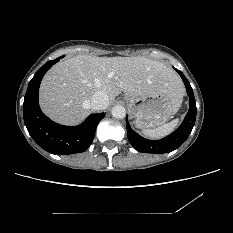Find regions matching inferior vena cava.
Returning a JSON list of instances; mask_svg holds the SVG:
<instances>
[{
  "instance_id": "inferior-vena-cava-1",
  "label": "inferior vena cava",
  "mask_w": 233,
  "mask_h": 233,
  "mask_svg": "<svg viewBox=\"0 0 233 233\" xmlns=\"http://www.w3.org/2000/svg\"><path fill=\"white\" fill-rule=\"evenodd\" d=\"M91 108L94 110H103L108 107L109 99L103 91H97L91 98Z\"/></svg>"
}]
</instances>
